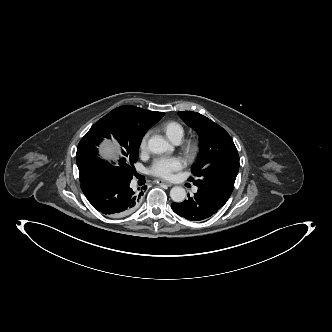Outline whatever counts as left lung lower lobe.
<instances>
[{"mask_svg":"<svg viewBox=\"0 0 332 332\" xmlns=\"http://www.w3.org/2000/svg\"><path fill=\"white\" fill-rule=\"evenodd\" d=\"M226 202L215 195L199 189L181 203H172V210L192 221H201L214 215Z\"/></svg>","mask_w":332,"mask_h":332,"instance_id":"0a47b994","label":"left lung lower lobe"}]
</instances>
